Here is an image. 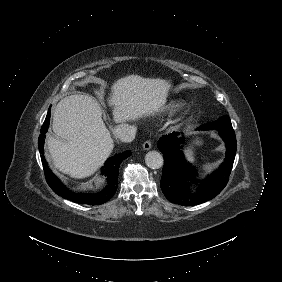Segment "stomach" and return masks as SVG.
<instances>
[{
  "label": "stomach",
  "mask_w": 282,
  "mask_h": 282,
  "mask_svg": "<svg viewBox=\"0 0 282 282\" xmlns=\"http://www.w3.org/2000/svg\"><path fill=\"white\" fill-rule=\"evenodd\" d=\"M193 144L195 145H201L202 144V140H200L199 138H196L193 142ZM186 157L189 161L193 162L194 161V153H193V147L190 146L186 149L185 151Z\"/></svg>",
  "instance_id": "obj_1"
}]
</instances>
